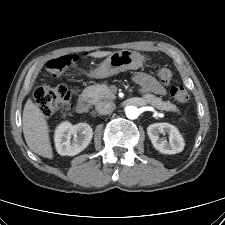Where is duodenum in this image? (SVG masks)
<instances>
[{"instance_id":"obj_1","label":"duodenum","mask_w":225,"mask_h":225,"mask_svg":"<svg viewBox=\"0 0 225 225\" xmlns=\"http://www.w3.org/2000/svg\"><path fill=\"white\" fill-rule=\"evenodd\" d=\"M92 105V99L85 95L78 99L76 103V110L78 113H85L87 112Z\"/></svg>"}]
</instances>
